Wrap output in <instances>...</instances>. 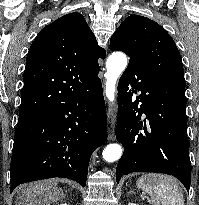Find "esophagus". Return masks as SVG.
<instances>
[{
  "label": "esophagus",
  "instance_id": "esophagus-1",
  "mask_svg": "<svg viewBox=\"0 0 199 205\" xmlns=\"http://www.w3.org/2000/svg\"><path fill=\"white\" fill-rule=\"evenodd\" d=\"M107 133H108V140L113 141L115 139V126H116V113L113 108H109L107 114Z\"/></svg>",
  "mask_w": 199,
  "mask_h": 205
}]
</instances>
